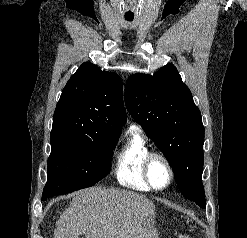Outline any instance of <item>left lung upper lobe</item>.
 I'll return each instance as SVG.
<instances>
[{"label":"left lung upper lobe","mask_w":247,"mask_h":238,"mask_svg":"<svg viewBox=\"0 0 247 238\" xmlns=\"http://www.w3.org/2000/svg\"><path fill=\"white\" fill-rule=\"evenodd\" d=\"M125 103L169 161L180 192L206 208L202 184L204 126L176 67L168 64L153 76H130Z\"/></svg>","instance_id":"obj_1"}]
</instances>
